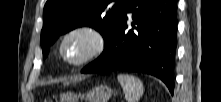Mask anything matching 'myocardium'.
I'll return each mask as SVG.
<instances>
[{"label":"myocardium","mask_w":221,"mask_h":102,"mask_svg":"<svg viewBox=\"0 0 221 102\" xmlns=\"http://www.w3.org/2000/svg\"><path fill=\"white\" fill-rule=\"evenodd\" d=\"M75 36L84 37L88 41V48L81 58L73 61L66 58L64 49L67 41ZM106 44V36L99 28L89 24H80L70 28L64 34L60 42L59 53L64 63L73 67H80L98 57L106 48Z\"/></svg>","instance_id":"myocardium-1"}]
</instances>
